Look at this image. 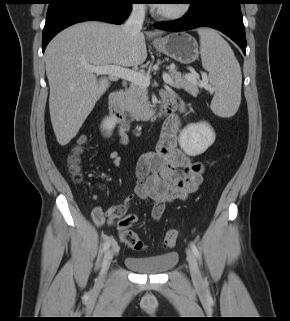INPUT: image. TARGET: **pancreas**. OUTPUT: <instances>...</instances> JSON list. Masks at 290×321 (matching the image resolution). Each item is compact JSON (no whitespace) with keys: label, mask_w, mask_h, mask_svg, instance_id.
Segmentation results:
<instances>
[{"label":"pancreas","mask_w":290,"mask_h":321,"mask_svg":"<svg viewBox=\"0 0 290 321\" xmlns=\"http://www.w3.org/2000/svg\"><path fill=\"white\" fill-rule=\"evenodd\" d=\"M172 78V87L177 89H184L192 96H197L199 93L197 78L196 81L189 80L187 75H182L177 72L174 65L169 67ZM147 90L141 85L130 83L129 88L124 92L121 101L123 110L128 111L135 119H142L151 110V105L147 100Z\"/></svg>","instance_id":"cf45deb5"}]
</instances>
